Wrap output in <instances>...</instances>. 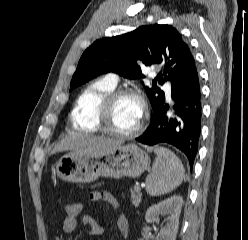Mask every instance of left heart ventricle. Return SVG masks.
<instances>
[{
  "mask_svg": "<svg viewBox=\"0 0 248 240\" xmlns=\"http://www.w3.org/2000/svg\"><path fill=\"white\" fill-rule=\"evenodd\" d=\"M142 110L139 101L134 97H122L113 107L109 118V126L120 132H129L139 123Z\"/></svg>",
  "mask_w": 248,
  "mask_h": 240,
  "instance_id": "obj_1",
  "label": "left heart ventricle"
}]
</instances>
